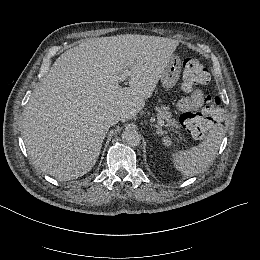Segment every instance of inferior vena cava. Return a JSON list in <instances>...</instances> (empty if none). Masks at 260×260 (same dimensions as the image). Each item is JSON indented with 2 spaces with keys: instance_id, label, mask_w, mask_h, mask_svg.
Returning <instances> with one entry per match:
<instances>
[{
  "instance_id": "obj_1",
  "label": "inferior vena cava",
  "mask_w": 260,
  "mask_h": 260,
  "mask_svg": "<svg viewBox=\"0 0 260 260\" xmlns=\"http://www.w3.org/2000/svg\"><path fill=\"white\" fill-rule=\"evenodd\" d=\"M119 121V117L117 114L114 113H110L107 117H106V126H114L115 124H117Z\"/></svg>"
}]
</instances>
